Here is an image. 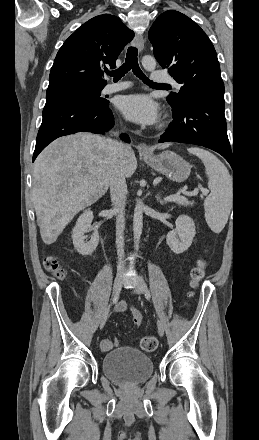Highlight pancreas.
I'll return each mask as SVG.
<instances>
[{
    "label": "pancreas",
    "mask_w": 259,
    "mask_h": 440,
    "mask_svg": "<svg viewBox=\"0 0 259 440\" xmlns=\"http://www.w3.org/2000/svg\"><path fill=\"white\" fill-rule=\"evenodd\" d=\"M176 203L179 204V205H182V206L193 205V203L189 202V201H182V202L176 201Z\"/></svg>",
    "instance_id": "obj_1"
}]
</instances>
